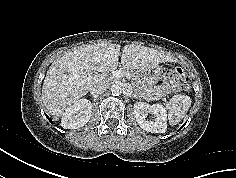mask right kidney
Segmentation results:
<instances>
[{"mask_svg": "<svg viewBox=\"0 0 236 178\" xmlns=\"http://www.w3.org/2000/svg\"><path fill=\"white\" fill-rule=\"evenodd\" d=\"M92 104L87 99H80L63 114L61 126L64 129H77L84 126L91 118Z\"/></svg>", "mask_w": 236, "mask_h": 178, "instance_id": "right-kidney-1", "label": "right kidney"}]
</instances>
